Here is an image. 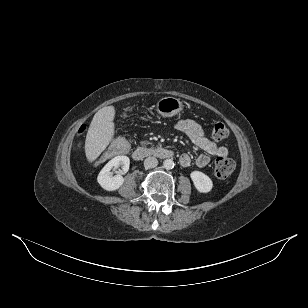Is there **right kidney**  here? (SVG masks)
I'll return each mask as SVG.
<instances>
[{"label":"right kidney","mask_w":308,"mask_h":308,"mask_svg":"<svg viewBox=\"0 0 308 308\" xmlns=\"http://www.w3.org/2000/svg\"><path fill=\"white\" fill-rule=\"evenodd\" d=\"M130 159L127 156H116L110 160L100 171L98 175V183L107 191H115L124 183V178L121 175L113 176L111 170L122 166L123 171L129 170Z\"/></svg>","instance_id":"ca27d5eb"}]
</instances>
